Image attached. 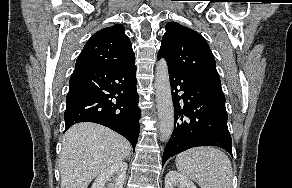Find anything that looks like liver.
<instances>
[{
	"label": "liver",
	"mask_w": 292,
	"mask_h": 188,
	"mask_svg": "<svg viewBox=\"0 0 292 188\" xmlns=\"http://www.w3.org/2000/svg\"><path fill=\"white\" fill-rule=\"evenodd\" d=\"M127 139L89 122L73 125L63 137L59 156L61 188H87L101 172L130 155Z\"/></svg>",
	"instance_id": "6515ba94"
}]
</instances>
